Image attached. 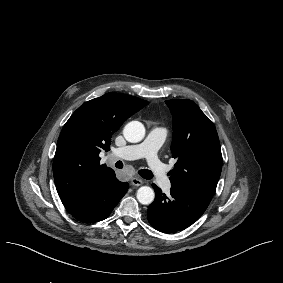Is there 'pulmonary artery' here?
<instances>
[{"label":"pulmonary artery","instance_id":"pulmonary-artery-1","mask_svg":"<svg viewBox=\"0 0 283 283\" xmlns=\"http://www.w3.org/2000/svg\"><path fill=\"white\" fill-rule=\"evenodd\" d=\"M166 134L167 131L165 128L153 127L141 143L129 145L127 148L120 147L117 150V155L120 158L126 157L128 160H139L141 157H144L154 181L157 183L159 189L163 191L170 189L172 185L157 156V151L165 140Z\"/></svg>","mask_w":283,"mask_h":283}]
</instances>
